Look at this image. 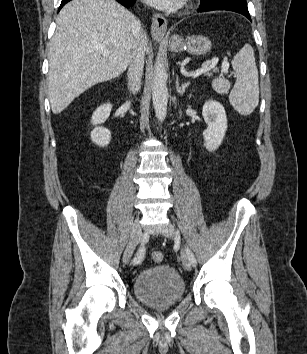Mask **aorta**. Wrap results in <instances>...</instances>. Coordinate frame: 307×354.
Segmentation results:
<instances>
[{
    "label": "aorta",
    "mask_w": 307,
    "mask_h": 354,
    "mask_svg": "<svg viewBox=\"0 0 307 354\" xmlns=\"http://www.w3.org/2000/svg\"><path fill=\"white\" fill-rule=\"evenodd\" d=\"M167 71L162 59H158L154 67L152 100L155 109V115L160 122H163L167 115L168 89H167Z\"/></svg>",
    "instance_id": "obj_1"
}]
</instances>
